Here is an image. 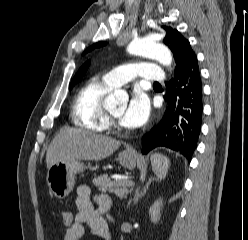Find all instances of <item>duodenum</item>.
<instances>
[{"label": "duodenum", "mask_w": 248, "mask_h": 240, "mask_svg": "<svg viewBox=\"0 0 248 240\" xmlns=\"http://www.w3.org/2000/svg\"><path fill=\"white\" fill-rule=\"evenodd\" d=\"M94 233L101 237L103 240H110V231L106 221H103L99 225L95 226Z\"/></svg>", "instance_id": "1"}]
</instances>
